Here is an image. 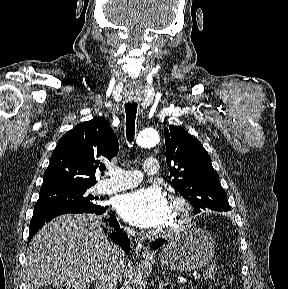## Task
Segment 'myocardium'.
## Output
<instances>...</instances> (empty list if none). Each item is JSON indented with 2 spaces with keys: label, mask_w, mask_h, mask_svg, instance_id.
Segmentation results:
<instances>
[{
  "label": "myocardium",
  "mask_w": 288,
  "mask_h": 289,
  "mask_svg": "<svg viewBox=\"0 0 288 289\" xmlns=\"http://www.w3.org/2000/svg\"><path fill=\"white\" fill-rule=\"evenodd\" d=\"M170 204L177 207L181 212V219L178 223L167 228V233L170 235H180L193 226V206L191 202L183 196L174 195L170 198Z\"/></svg>",
  "instance_id": "myocardium-1"
}]
</instances>
